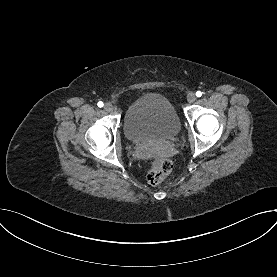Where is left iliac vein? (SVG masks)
<instances>
[{"mask_svg": "<svg viewBox=\"0 0 277 277\" xmlns=\"http://www.w3.org/2000/svg\"><path fill=\"white\" fill-rule=\"evenodd\" d=\"M196 100V95L193 92L188 93L187 101L189 103H193Z\"/></svg>", "mask_w": 277, "mask_h": 277, "instance_id": "1", "label": "left iliac vein"}]
</instances>
